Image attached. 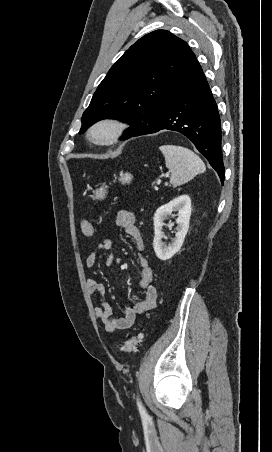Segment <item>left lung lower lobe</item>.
Returning <instances> with one entry per match:
<instances>
[{"mask_svg":"<svg viewBox=\"0 0 272 452\" xmlns=\"http://www.w3.org/2000/svg\"><path fill=\"white\" fill-rule=\"evenodd\" d=\"M163 129L187 136L202 153L224 182L221 151V123L216 102L197 59L183 75L167 102L158 121L148 128L138 129L122 139L155 133Z\"/></svg>","mask_w":272,"mask_h":452,"instance_id":"obj_1","label":"left lung lower lobe"}]
</instances>
